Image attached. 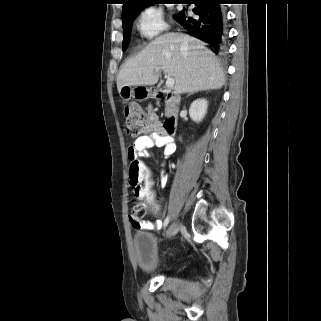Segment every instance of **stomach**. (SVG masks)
Returning a JSON list of instances; mask_svg holds the SVG:
<instances>
[{"instance_id":"obj_1","label":"stomach","mask_w":321,"mask_h":321,"mask_svg":"<svg viewBox=\"0 0 321 321\" xmlns=\"http://www.w3.org/2000/svg\"><path fill=\"white\" fill-rule=\"evenodd\" d=\"M119 95L124 101L130 98L143 101L152 96V90L145 86H124L120 91Z\"/></svg>"}]
</instances>
